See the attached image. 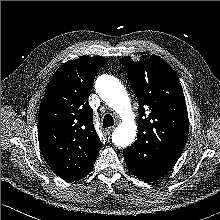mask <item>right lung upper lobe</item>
Segmentation results:
<instances>
[{
  "mask_svg": "<svg viewBox=\"0 0 220 220\" xmlns=\"http://www.w3.org/2000/svg\"><path fill=\"white\" fill-rule=\"evenodd\" d=\"M107 59L81 56L64 63L47 85L38 115V140L49 167L76 181L93 168L102 143L88 105L93 81Z\"/></svg>",
  "mask_w": 220,
  "mask_h": 220,
  "instance_id": "right-lung-upper-lobe-1",
  "label": "right lung upper lobe"
}]
</instances>
